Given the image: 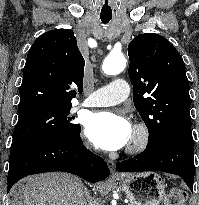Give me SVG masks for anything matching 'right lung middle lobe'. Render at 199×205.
<instances>
[{
	"label": "right lung middle lobe",
	"mask_w": 199,
	"mask_h": 205,
	"mask_svg": "<svg viewBox=\"0 0 199 205\" xmlns=\"http://www.w3.org/2000/svg\"><path fill=\"white\" fill-rule=\"evenodd\" d=\"M71 107V104L41 106L18 112L10 151L48 138L78 135L80 125L71 123L73 118L68 116Z\"/></svg>",
	"instance_id": "obj_1"
}]
</instances>
